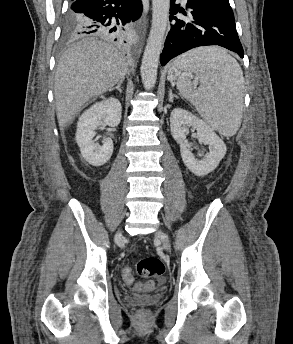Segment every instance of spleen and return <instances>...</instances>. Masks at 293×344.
<instances>
[{
  "mask_svg": "<svg viewBox=\"0 0 293 344\" xmlns=\"http://www.w3.org/2000/svg\"><path fill=\"white\" fill-rule=\"evenodd\" d=\"M174 63L195 73L200 81V87L194 89L188 77L179 80L180 94L220 134L234 135L241 124L244 97V77L238 62L219 47H200Z\"/></svg>",
  "mask_w": 293,
  "mask_h": 344,
  "instance_id": "1",
  "label": "spleen"
}]
</instances>
